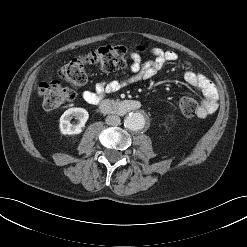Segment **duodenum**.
<instances>
[{"instance_id": "1", "label": "duodenum", "mask_w": 247, "mask_h": 247, "mask_svg": "<svg viewBox=\"0 0 247 247\" xmlns=\"http://www.w3.org/2000/svg\"><path fill=\"white\" fill-rule=\"evenodd\" d=\"M142 107L141 103L133 99L125 100H103L99 103L101 111L108 114L124 115L134 111L140 110Z\"/></svg>"}]
</instances>
